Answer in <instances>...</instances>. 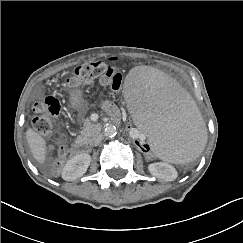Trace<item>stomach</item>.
<instances>
[{"mask_svg": "<svg viewBox=\"0 0 243 243\" xmlns=\"http://www.w3.org/2000/svg\"><path fill=\"white\" fill-rule=\"evenodd\" d=\"M70 103L76 109L81 108V91L74 90L70 93Z\"/></svg>", "mask_w": 243, "mask_h": 243, "instance_id": "stomach-1", "label": "stomach"}]
</instances>
